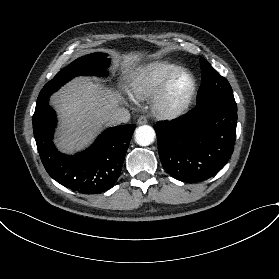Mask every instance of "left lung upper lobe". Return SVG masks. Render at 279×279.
<instances>
[{
	"label": "left lung upper lobe",
	"mask_w": 279,
	"mask_h": 279,
	"mask_svg": "<svg viewBox=\"0 0 279 279\" xmlns=\"http://www.w3.org/2000/svg\"><path fill=\"white\" fill-rule=\"evenodd\" d=\"M200 63L202 83L197 94V105L217 101L237 106L227 79L213 69L206 59L201 58Z\"/></svg>",
	"instance_id": "left-lung-upper-lobe-1"
}]
</instances>
